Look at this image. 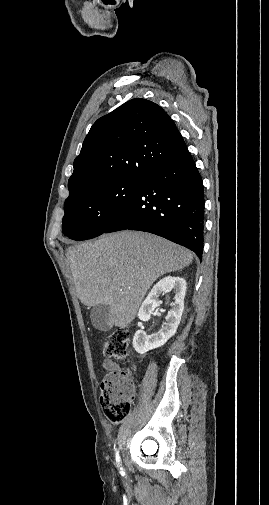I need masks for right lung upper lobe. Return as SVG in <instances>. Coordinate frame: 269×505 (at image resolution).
<instances>
[{"label": "right lung upper lobe", "mask_w": 269, "mask_h": 505, "mask_svg": "<svg viewBox=\"0 0 269 505\" xmlns=\"http://www.w3.org/2000/svg\"><path fill=\"white\" fill-rule=\"evenodd\" d=\"M186 149L173 120L159 105L132 99L92 125L74 160L68 198L100 184L141 181Z\"/></svg>", "instance_id": "obj_1"}]
</instances>
